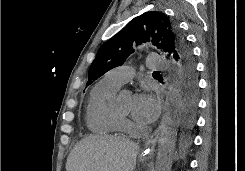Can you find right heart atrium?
Here are the masks:
<instances>
[{"mask_svg": "<svg viewBox=\"0 0 245 171\" xmlns=\"http://www.w3.org/2000/svg\"><path fill=\"white\" fill-rule=\"evenodd\" d=\"M129 127V122L123 119L122 128L126 129Z\"/></svg>", "mask_w": 245, "mask_h": 171, "instance_id": "1", "label": "right heart atrium"}]
</instances>
